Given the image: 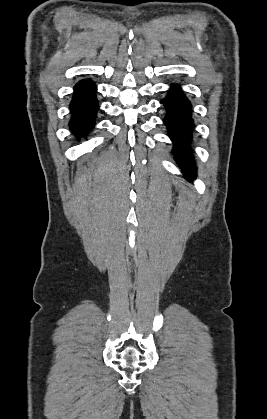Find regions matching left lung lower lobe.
<instances>
[{
	"instance_id": "left-lung-lower-lobe-1",
	"label": "left lung lower lobe",
	"mask_w": 267,
	"mask_h": 419,
	"mask_svg": "<svg viewBox=\"0 0 267 419\" xmlns=\"http://www.w3.org/2000/svg\"><path fill=\"white\" fill-rule=\"evenodd\" d=\"M161 103L166 110L163 122L174 144L172 152L175 155V160L186 177L195 178L197 168L191 150L194 131L191 102L181 90L180 85L172 84Z\"/></svg>"
}]
</instances>
